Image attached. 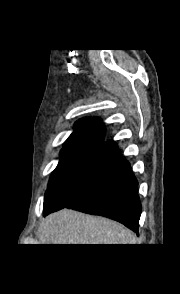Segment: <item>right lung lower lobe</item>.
Here are the masks:
<instances>
[{
  "label": "right lung lower lobe",
  "instance_id": "right-lung-lower-lobe-1",
  "mask_svg": "<svg viewBox=\"0 0 180 294\" xmlns=\"http://www.w3.org/2000/svg\"><path fill=\"white\" fill-rule=\"evenodd\" d=\"M138 182L114 141L101 144L72 181L44 208V216L62 208L101 215L138 232L141 204Z\"/></svg>",
  "mask_w": 180,
  "mask_h": 294
}]
</instances>
